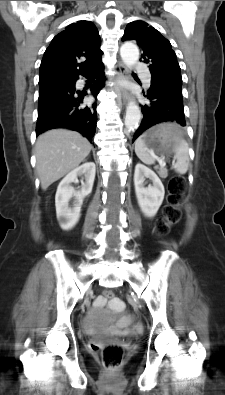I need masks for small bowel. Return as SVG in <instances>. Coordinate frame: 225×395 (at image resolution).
I'll list each match as a JSON object with an SVG mask.
<instances>
[{
    "instance_id": "small-bowel-1",
    "label": "small bowel",
    "mask_w": 225,
    "mask_h": 395,
    "mask_svg": "<svg viewBox=\"0 0 225 395\" xmlns=\"http://www.w3.org/2000/svg\"><path fill=\"white\" fill-rule=\"evenodd\" d=\"M107 297L99 296L94 302V308L96 315H101L103 322L108 324V330L113 333L126 332L131 324V318L129 316L120 317L114 324H109L111 322V315L109 313L103 312L106 305V311H114L116 315L126 314V304L122 296H113L111 298L110 304H106ZM91 329L92 326L88 325Z\"/></svg>"
}]
</instances>
